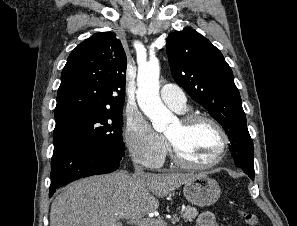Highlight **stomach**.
Listing matches in <instances>:
<instances>
[{
    "label": "stomach",
    "instance_id": "obj_1",
    "mask_svg": "<svg viewBox=\"0 0 297 226\" xmlns=\"http://www.w3.org/2000/svg\"><path fill=\"white\" fill-rule=\"evenodd\" d=\"M185 198L197 206H210L220 197V186L215 179L201 174L189 180L183 188Z\"/></svg>",
    "mask_w": 297,
    "mask_h": 226
}]
</instances>
